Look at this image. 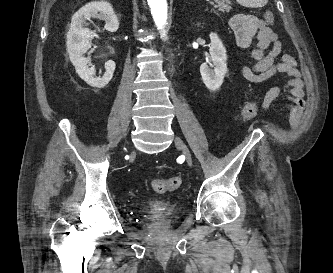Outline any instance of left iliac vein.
Segmentation results:
<instances>
[{"instance_id": "1", "label": "left iliac vein", "mask_w": 333, "mask_h": 273, "mask_svg": "<svg viewBox=\"0 0 333 273\" xmlns=\"http://www.w3.org/2000/svg\"><path fill=\"white\" fill-rule=\"evenodd\" d=\"M174 142H175L176 147L179 148V149L183 152V154H184V156H185V158H186L187 164H188L190 167H192V165H193L192 156H191V154H190L189 149H188L187 146L185 145V143H184V142L182 141V139H181L180 137H178V136H175V138H174Z\"/></svg>"}]
</instances>
